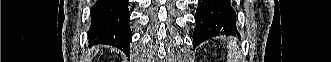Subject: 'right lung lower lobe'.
<instances>
[{
	"mask_svg": "<svg viewBox=\"0 0 331 62\" xmlns=\"http://www.w3.org/2000/svg\"><path fill=\"white\" fill-rule=\"evenodd\" d=\"M128 0H97L91 9L90 45L105 44L130 54Z\"/></svg>",
	"mask_w": 331,
	"mask_h": 62,
	"instance_id": "98d812e1",
	"label": "right lung lower lobe"
}]
</instances>
